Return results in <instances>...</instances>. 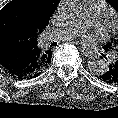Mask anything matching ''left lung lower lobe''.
<instances>
[{"label":"left lung lower lobe","mask_w":118,"mask_h":118,"mask_svg":"<svg viewBox=\"0 0 118 118\" xmlns=\"http://www.w3.org/2000/svg\"><path fill=\"white\" fill-rule=\"evenodd\" d=\"M97 77L102 79L104 82L110 84H114V83L117 84L118 83V60L109 64L106 71Z\"/></svg>","instance_id":"left-lung-lower-lobe-1"}]
</instances>
